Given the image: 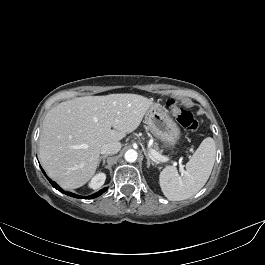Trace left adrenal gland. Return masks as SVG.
Instances as JSON below:
<instances>
[{
	"mask_svg": "<svg viewBox=\"0 0 265 265\" xmlns=\"http://www.w3.org/2000/svg\"><path fill=\"white\" fill-rule=\"evenodd\" d=\"M144 154H145V157L147 159V168L150 167V164H152L153 166L155 165V163L150 159V157L148 156L147 152L144 150Z\"/></svg>",
	"mask_w": 265,
	"mask_h": 265,
	"instance_id": "left-adrenal-gland-1",
	"label": "left adrenal gland"
}]
</instances>
